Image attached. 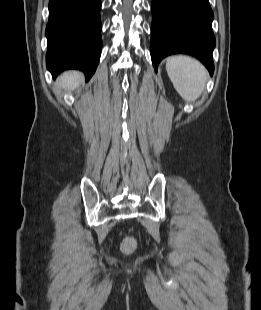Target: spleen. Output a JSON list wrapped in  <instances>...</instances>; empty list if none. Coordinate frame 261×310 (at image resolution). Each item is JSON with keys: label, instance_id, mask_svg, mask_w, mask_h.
I'll return each mask as SVG.
<instances>
[{"label": "spleen", "instance_id": "3e777b00", "mask_svg": "<svg viewBox=\"0 0 261 310\" xmlns=\"http://www.w3.org/2000/svg\"><path fill=\"white\" fill-rule=\"evenodd\" d=\"M166 71L174 88L186 102L195 101L206 86L208 72L194 58L185 55L169 57Z\"/></svg>", "mask_w": 261, "mask_h": 310}]
</instances>
